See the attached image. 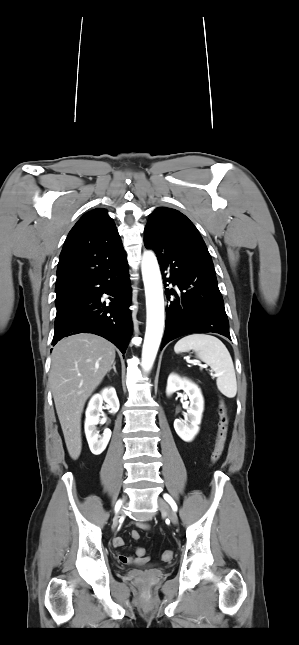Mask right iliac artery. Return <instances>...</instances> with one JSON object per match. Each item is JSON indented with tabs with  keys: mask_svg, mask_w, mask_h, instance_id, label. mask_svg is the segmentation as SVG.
I'll use <instances>...</instances> for the list:
<instances>
[{
	"mask_svg": "<svg viewBox=\"0 0 299 645\" xmlns=\"http://www.w3.org/2000/svg\"><path fill=\"white\" fill-rule=\"evenodd\" d=\"M120 505H121V501H118V502H117V504H116V506H115V511H116V512L119 510Z\"/></svg>",
	"mask_w": 299,
	"mask_h": 645,
	"instance_id": "obj_1",
	"label": "right iliac artery"
}]
</instances>
